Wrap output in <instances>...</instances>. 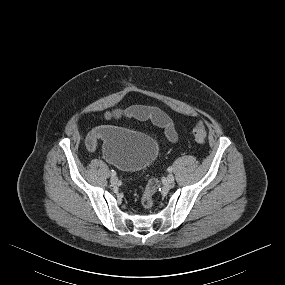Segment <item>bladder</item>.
<instances>
[{
	"label": "bladder",
	"mask_w": 285,
	"mask_h": 285,
	"mask_svg": "<svg viewBox=\"0 0 285 285\" xmlns=\"http://www.w3.org/2000/svg\"><path fill=\"white\" fill-rule=\"evenodd\" d=\"M104 158L128 172L144 169L152 163L159 152L157 141L142 132L106 126L102 137Z\"/></svg>",
	"instance_id": "bladder-1"
}]
</instances>
